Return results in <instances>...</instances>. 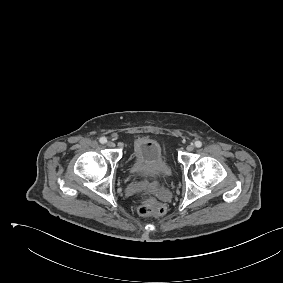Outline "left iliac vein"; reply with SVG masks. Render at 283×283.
<instances>
[{
    "label": "left iliac vein",
    "mask_w": 283,
    "mask_h": 283,
    "mask_svg": "<svg viewBox=\"0 0 283 283\" xmlns=\"http://www.w3.org/2000/svg\"><path fill=\"white\" fill-rule=\"evenodd\" d=\"M187 151L191 152L194 150V145L193 144H189L187 147H186Z\"/></svg>",
    "instance_id": "1"
}]
</instances>
